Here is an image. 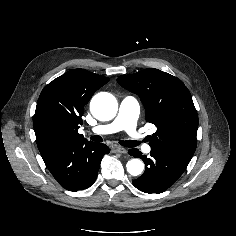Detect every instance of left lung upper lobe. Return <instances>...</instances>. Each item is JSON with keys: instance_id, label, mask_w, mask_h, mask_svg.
<instances>
[{"instance_id": "obj_1", "label": "left lung upper lobe", "mask_w": 236, "mask_h": 236, "mask_svg": "<svg viewBox=\"0 0 236 236\" xmlns=\"http://www.w3.org/2000/svg\"><path fill=\"white\" fill-rule=\"evenodd\" d=\"M117 82L140 97L146 121L157 126L149 145L190 161L197 145L198 115L184 83L155 68L121 76Z\"/></svg>"}]
</instances>
